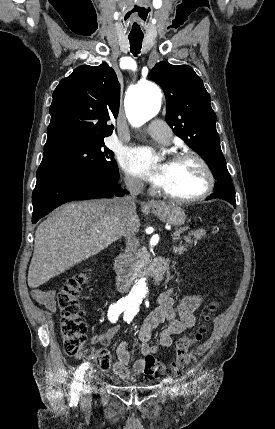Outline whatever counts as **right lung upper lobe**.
<instances>
[{
  "instance_id": "cb5924a9",
  "label": "right lung upper lobe",
  "mask_w": 275,
  "mask_h": 429,
  "mask_svg": "<svg viewBox=\"0 0 275 429\" xmlns=\"http://www.w3.org/2000/svg\"><path fill=\"white\" fill-rule=\"evenodd\" d=\"M120 84L107 64L82 65L53 92L44 153L69 144L98 142L112 134L118 116Z\"/></svg>"
}]
</instances>
